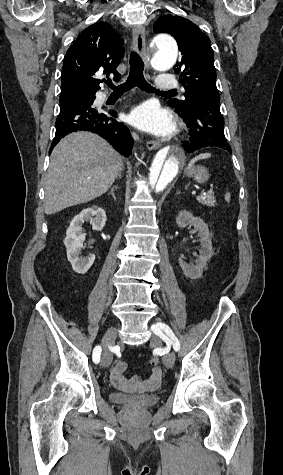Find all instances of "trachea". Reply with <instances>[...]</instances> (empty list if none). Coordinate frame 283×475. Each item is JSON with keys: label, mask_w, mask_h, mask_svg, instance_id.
Returning a JSON list of instances; mask_svg holds the SVG:
<instances>
[{"label": "trachea", "mask_w": 283, "mask_h": 475, "mask_svg": "<svg viewBox=\"0 0 283 475\" xmlns=\"http://www.w3.org/2000/svg\"><path fill=\"white\" fill-rule=\"evenodd\" d=\"M130 71H129V76L126 80L125 83H122L121 85L114 86L111 82V80H108L107 85L113 89L114 92H127L133 87H139L141 90H144L146 92H156V93H161V94H170L174 93V90H169L166 92L156 90L153 88L149 83L145 80L144 78V62L137 54V52L132 51L130 54Z\"/></svg>", "instance_id": "1"}]
</instances>
